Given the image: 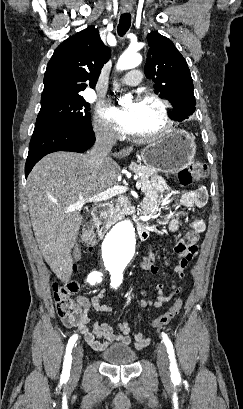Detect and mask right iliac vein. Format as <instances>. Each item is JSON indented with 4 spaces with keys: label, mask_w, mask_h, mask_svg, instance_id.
<instances>
[{
    "label": "right iliac vein",
    "mask_w": 243,
    "mask_h": 409,
    "mask_svg": "<svg viewBox=\"0 0 243 409\" xmlns=\"http://www.w3.org/2000/svg\"><path fill=\"white\" fill-rule=\"evenodd\" d=\"M82 357H83L82 346H75L73 350L71 379H76L79 377L82 368Z\"/></svg>",
    "instance_id": "63e3f726"
}]
</instances>
